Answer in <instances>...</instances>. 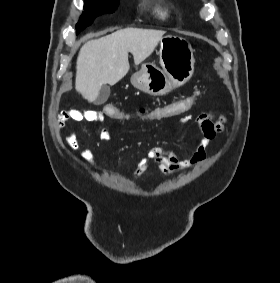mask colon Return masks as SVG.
I'll use <instances>...</instances> for the list:
<instances>
[{
	"instance_id": "5ec220e1",
	"label": "colon",
	"mask_w": 280,
	"mask_h": 283,
	"mask_svg": "<svg viewBox=\"0 0 280 283\" xmlns=\"http://www.w3.org/2000/svg\"><path fill=\"white\" fill-rule=\"evenodd\" d=\"M201 95V90H192L191 94H185V97L175 99L173 103H165L152 107L150 114H133L132 111L126 112V108H118L120 103H104L103 115L109 116L110 119H139L140 123L151 125L152 122H165L166 119H175V116H182L183 112H193L194 105H197ZM73 109L65 114H61L60 118H65L71 113L78 112Z\"/></svg>"
}]
</instances>
